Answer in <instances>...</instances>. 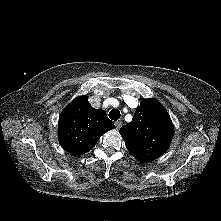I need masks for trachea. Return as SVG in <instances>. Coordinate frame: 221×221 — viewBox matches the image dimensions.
Wrapping results in <instances>:
<instances>
[{
  "instance_id": "trachea-1",
  "label": "trachea",
  "mask_w": 221,
  "mask_h": 221,
  "mask_svg": "<svg viewBox=\"0 0 221 221\" xmlns=\"http://www.w3.org/2000/svg\"><path fill=\"white\" fill-rule=\"evenodd\" d=\"M120 111L118 109H112L109 112V117L111 120L117 121L120 118Z\"/></svg>"
}]
</instances>
